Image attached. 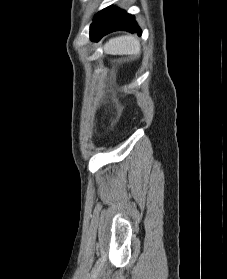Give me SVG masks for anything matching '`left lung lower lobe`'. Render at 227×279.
Masks as SVG:
<instances>
[{
	"instance_id": "left-lung-lower-lobe-1",
	"label": "left lung lower lobe",
	"mask_w": 227,
	"mask_h": 279,
	"mask_svg": "<svg viewBox=\"0 0 227 279\" xmlns=\"http://www.w3.org/2000/svg\"><path fill=\"white\" fill-rule=\"evenodd\" d=\"M117 30L136 32L138 35L142 33L133 15L125 10L109 6L94 16L90 25V39L98 41L106 34Z\"/></svg>"
}]
</instances>
